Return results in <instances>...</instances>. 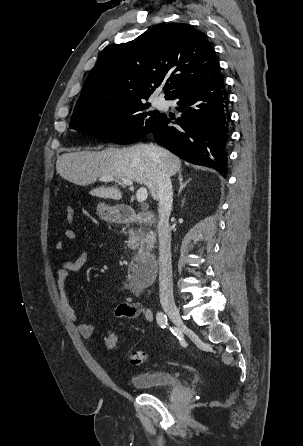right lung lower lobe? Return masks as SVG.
Masks as SVG:
<instances>
[{
	"label": "right lung lower lobe",
	"instance_id": "obj_1",
	"mask_svg": "<svg viewBox=\"0 0 303 446\" xmlns=\"http://www.w3.org/2000/svg\"><path fill=\"white\" fill-rule=\"evenodd\" d=\"M172 100H177L182 111L175 122L178 126H169L172 118L164 115L150 132L155 141L188 162L214 168L226 176L230 111L223 77Z\"/></svg>",
	"mask_w": 303,
	"mask_h": 446
}]
</instances>
